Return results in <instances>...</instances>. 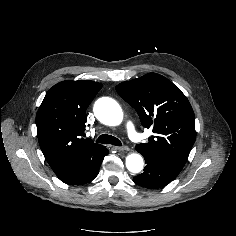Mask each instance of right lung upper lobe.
Wrapping results in <instances>:
<instances>
[{"label":"right lung upper lobe","instance_id":"cb5924a9","mask_svg":"<svg viewBox=\"0 0 236 236\" xmlns=\"http://www.w3.org/2000/svg\"><path fill=\"white\" fill-rule=\"evenodd\" d=\"M102 84L66 80L46 93L36 115L37 135L43 155L58 178L73 173L79 164L105 147L83 139L86 109Z\"/></svg>","mask_w":236,"mask_h":236}]
</instances>
